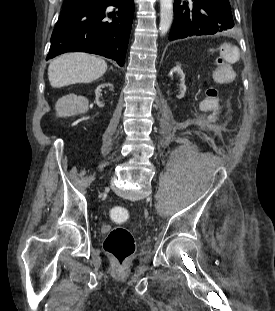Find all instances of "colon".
Masks as SVG:
<instances>
[{
    "label": "colon",
    "instance_id": "5ec220e1",
    "mask_svg": "<svg viewBox=\"0 0 275 311\" xmlns=\"http://www.w3.org/2000/svg\"><path fill=\"white\" fill-rule=\"evenodd\" d=\"M109 214L115 221H127L130 217L127 210L121 207L111 208ZM135 247L133 234L121 225L112 227L103 243L104 250L115 260L118 267H122L134 254Z\"/></svg>",
    "mask_w": 275,
    "mask_h": 311
}]
</instances>
